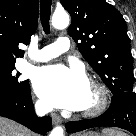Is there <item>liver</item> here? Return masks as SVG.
<instances>
[{
    "label": "liver",
    "instance_id": "6515ba94",
    "mask_svg": "<svg viewBox=\"0 0 136 136\" xmlns=\"http://www.w3.org/2000/svg\"><path fill=\"white\" fill-rule=\"evenodd\" d=\"M0 136H31L29 131L18 123L0 117Z\"/></svg>",
    "mask_w": 136,
    "mask_h": 136
}]
</instances>
